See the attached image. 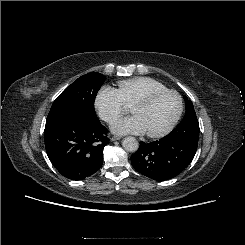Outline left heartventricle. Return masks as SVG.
<instances>
[{
    "label": "left heart ventricle",
    "mask_w": 245,
    "mask_h": 245,
    "mask_svg": "<svg viewBox=\"0 0 245 245\" xmlns=\"http://www.w3.org/2000/svg\"><path fill=\"white\" fill-rule=\"evenodd\" d=\"M178 98L174 94H165L149 104L131 106V112L137 116L145 132H157L165 128L178 110Z\"/></svg>",
    "instance_id": "obj_1"
}]
</instances>
